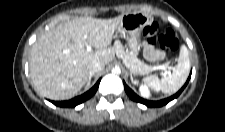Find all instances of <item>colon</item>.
<instances>
[{
  "label": "colon",
  "mask_w": 225,
  "mask_h": 132,
  "mask_svg": "<svg viewBox=\"0 0 225 132\" xmlns=\"http://www.w3.org/2000/svg\"><path fill=\"white\" fill-rule=\"evenodd\" d=\"M142 35L150 44H157L162 50L170 53L175 52L179 47L175 33L170 29L161 32L159 25L155 22L145 26Z\"/></svg>",
  "instance_id": "obj_1"
}]
</instances>
